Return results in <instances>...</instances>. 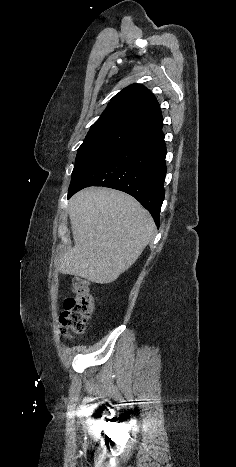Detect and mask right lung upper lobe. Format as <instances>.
Wrapping results in <instances>:
<instances>
[{"label": "right lung upper lobe", "instance_id": "1", "mask_svg": "<svg viewBox=\"0 0 236 467\" xmlns=\"http://www.w3.org/2000/svg\"><path fill=\"white\" fill-rule=\"evenodd\" d=\"M163 123L155 96L142 84H132L116 94L100 118L91 126H116L139 134Z\"/></svg>", "mask_w": 236, "mask_h": 467}]
</instances>
